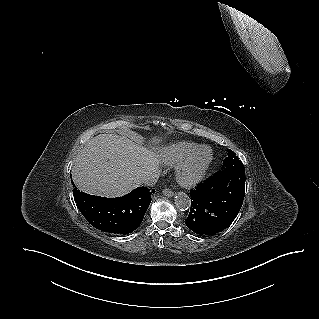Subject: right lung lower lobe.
I'll use <instances>...</instances> for the list:
<instances>
[{
	"label": "right lung lower lobe",
	"mask_w": 319,
	"mask_h": 319,
	"mask_svg": "<svg viewBox=\"0 0 319 319\" xmlns=\"http://www.w3.org/2000/svg\"><path fill=\"white\" fill-rule=\"evenodd\" d=\"M155 192L142 186L117 198H104L73 189L77 207L87 221L104 232L128 234L141 224Z\"/></svg>",
	"instance_id": "98d812e1"
}]
</instances>
